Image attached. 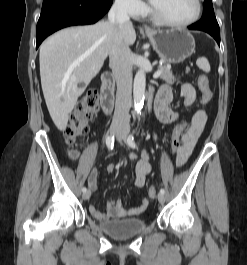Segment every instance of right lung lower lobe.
Here are the masks:
<instances>
[{"instance_id":"obj_1","label":"right lung lower lobe","mask_w":247,"mask_h":265,"mask_svg":"<svg viewBox=\"0 0 247 265\" xmlns=\"http://www.w3.org/2000/svg\"><path fill=\"white\" fill-rule=\"evenodd\" d=\"M112 0H43L37 23V45L53 32L68 26L93 24L110 8Z\"/></svg>"}]
</instances>
